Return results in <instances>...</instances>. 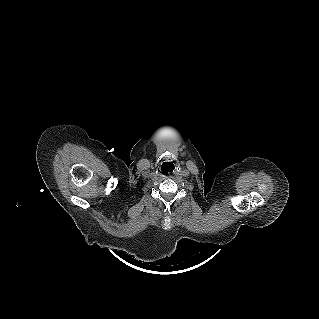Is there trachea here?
Instances as JSON below:
<instances>
[{
	"instance_id": "1",
	"label": "trachea",
	"mask_w": 319,
	"mask_h": 319,
	"mask_svg": "<svg viewBox=\"0 0 319 319\" xmlns=\"http://www.w3.org/2000/svg\"><path fill=\"white\" fill-rule=\"evenodd\" d=\"M169 170H170V169H169V168H167V170H166V171H168V172H169Z\"/></svg>"
}]
</instances>
